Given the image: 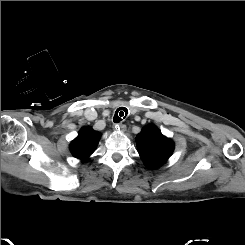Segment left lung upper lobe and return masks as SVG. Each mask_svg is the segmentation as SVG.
Wrapping results in <instances>:
<instances>
[{
    "label": "left lung upper lobe",
    "mask_w": 245,
    "mask_h": 245,
    "mask_svg": "<svg viewBox=\"0 0 245 245\" xmlns=\"http://www.w3.org/2000/svg\"><path fill=\"white\" fill-rule=\"evenodd\" d=\"M136 141L139 155L150 169H156L166 163L175 146L174 142L154 125L145 126Z\"/></svg>",
    "instance_id": "1"
}]
</instances>
